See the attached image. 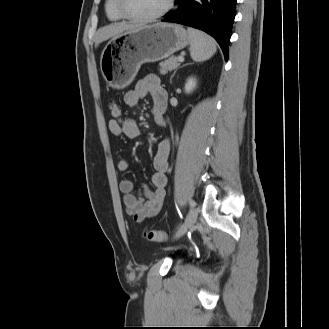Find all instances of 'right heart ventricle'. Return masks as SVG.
Here are the masks:
<instances>
[{
  "label": "right heart ventricle",
  "instance_id": "right-heart-ventricle-1",
  "mask_svg": "<svg viewBox=\"0 0 329 329\" xmlns=\"http://www.w3.org/2000/svg\"><path fill=\"white\" fill-rule=\"evenodd\" d=\"M105 10L108 19L111 21H121L124 19L118 10L117 0H106Z\"/></svg>",
  "mask_w": 329,
  "mask_h": 329
}]
</instances>
